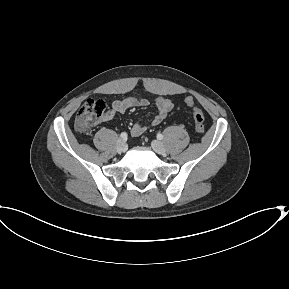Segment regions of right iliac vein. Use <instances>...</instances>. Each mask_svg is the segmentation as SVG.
I'll return each mask as SVG.
<instances>
[{
	"instance_id": "obj_1",
	"label": "right iliac vein",
	"mask_w": 289,
	"mask_h": 289,
	"mask_svg": "<svg viewBox=\"0 0 289 289\" xmlns=\"http://www.w3.org/2000/svg\"><path fill=\"white\" fill-rule=\"evenodd\" d=\"M116 149L119 153H123L127 149L126 142L123 139H119L116 144Z\"/></svg>"
}]
</instances>
